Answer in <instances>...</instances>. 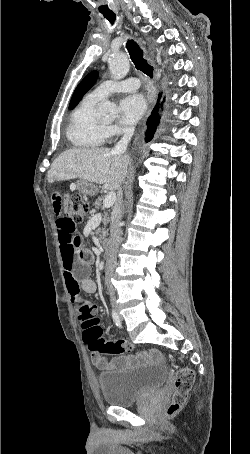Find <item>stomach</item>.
Returning a JSON list of instances; mask_svg holds the SVG:
<instances>
[{
  "instance_id": "stomach-1",
  "label": "stomach",
  "mask_w": 250,
  "mask_h": 454,
  "mask_svg": "<svg viewBox=\"0 0 250 454\" xmlns=\"http://www.w3.org/2000/svg\"><path fill=\"white\" fill-rule=\"evenodd\" d=\"M78 189L81 193L83 194H87V195H95L98 191L97 187L91 183H88V182H85V181H82L79 186H78Z\"/></svg>"
}]
</instances>
